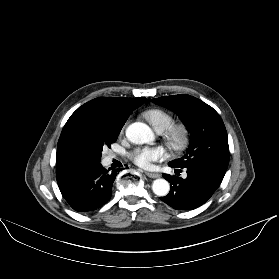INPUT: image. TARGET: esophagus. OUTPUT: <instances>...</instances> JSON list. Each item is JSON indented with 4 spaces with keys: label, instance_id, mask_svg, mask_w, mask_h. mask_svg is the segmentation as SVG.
I'll return each mask as SVG.
<instances>
[{
    "label": "esophagus",
    "instance_id": "obj_1",
    "mask_svg": "<svg viewBox=\"0 0 279 279\" xmlns=\"http://www.w3.org/2000/svg\"><path fill=\"white\" fill-rule=\"evenodd\" d=\"M145 174H146L149 178H159V177H160V174H158V173L145 172Z\"/></svg>",
    "mask_w": 279,
    "mask_h": 279
}]
</instances>
